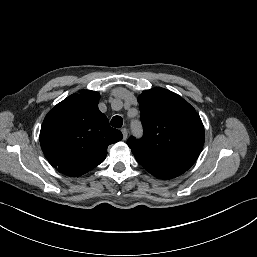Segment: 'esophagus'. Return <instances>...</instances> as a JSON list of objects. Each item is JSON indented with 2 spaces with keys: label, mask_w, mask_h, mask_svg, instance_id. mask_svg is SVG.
<instances>
[{
  "label": "esophagus",
  "mask_w": 257,
  "mask_h": 257,
  "mask_svg": "<svg viewBox=\"0 0 257 257\" xmlns=\"http://www.w3.org/2000/svg\"><path fill=\"white\" fill-rule=\"evenodd\" d=\"M121 132H122V134H123V139L126 140L127 137H128L127 128H122V129H121Z\"/></svg>",
  "instance_id": "esophagus-1"
}]
</instances>
